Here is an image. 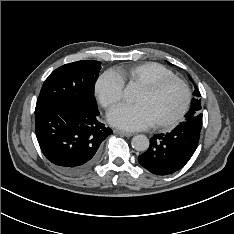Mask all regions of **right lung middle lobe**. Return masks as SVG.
I'll use <instances>...</instances> for the list:
<instances>
[{
    "label": "right lung middle lobe",
    "instance_id": "right-lung-middle-lobe-1",
    "mask_svg": "<svg viewBox=\"0 0 234 234\" xmlns=\"http://www.w3.org/2000/svg\"><path fill=\"white\" fill-rule=\"evenodd\" d=\"M100 64L99 61H77L54 70L43 83L35 112L57 104L96 110L93 94Z\"/></svg>",
    "mask_w": 234,
    "mask_h": 234
}]
</instances>
